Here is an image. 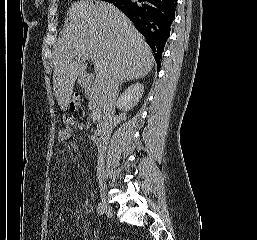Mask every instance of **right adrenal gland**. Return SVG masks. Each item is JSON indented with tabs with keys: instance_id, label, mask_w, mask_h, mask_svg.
I'll return each mask as SVG.
<instances>
[{
	"instance_id": "obj_1",
	"label": "right adrenal gland",
	"mask_w": 257,
	"mask_h": 240,
	"mask_svg": "<svg viewBox=\"0 0 257 240\" xmlns=\"http://www.w3.org/2000/svg\"><path fill=\"white\" fill-rule=\"evenodd\" d=\"M126 81H128V80H126ZM126 81H123V82L120 83L118 94L120 93V90H121V87H122L123 83L126 82Z\"/></svg>"
}]
</instances>
